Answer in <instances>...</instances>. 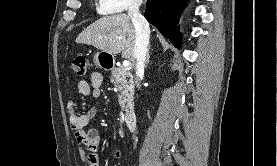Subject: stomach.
Instances as JSON below:
<instances>
[{
	"instance_id": "obj_1",
	"label": "stomach",
	"mask_w": 277,
	"mask_h": 166,
	"mask_svg": "<svg viewBox=\"0 0 277 166\" xmlns=\"http://www.w3.org/2000/svg\"><path fill=\"white\" fill-rule=\"evenodd\" d=\"M93 61L100 68H111L114 63V56L106 52H97L94 55Z\"/></svg>"
}]
</instances>
